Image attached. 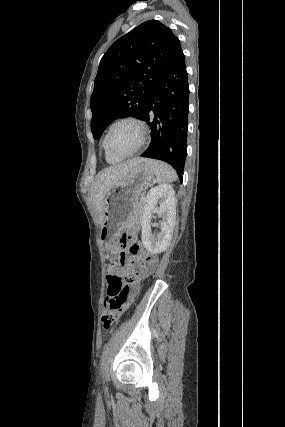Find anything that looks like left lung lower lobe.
Here are the masks:
<instances>
[{
	"mask_svg": "<svg viewBox=\"0 0 285 427\" xmlns=\"http://www.w3.org/2000/svg\"><path fill=\"white\" fill-rule=\"evenodd\" d=\"M188 98V74L181 51L156 86L141 117L151 127V143L141 157L167 162L180 181L187 153Z\"/></svg>",
	"mask_w": 285,
	"mask_h": 427,
	"instance_id": "0a47b994",
	"label": "left lung lower lobe"
}]
</instances>
